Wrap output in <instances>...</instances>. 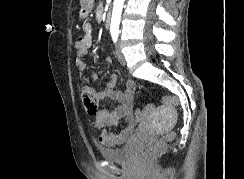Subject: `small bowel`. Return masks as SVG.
<instances>
[{"instance_id": "c3829d8e", "label": "small bowel", "mask_w": 244, "mask_h": 179, "mask_svg": "<svg viewBox=\"0 0 244 179\" xmlns=\"http://www.w3.org/2000/svg\"><path fill=\"white\" fill-rule=\"evenodd\" d=\"M92 42V25L86 23L83 32L75 42V48L77 50L75 55L76 65L81 71L85 69V63L82 61V58L87 55L92 46ZM107 61L109 62L110 59L107 58ZM101 75V72L93 71L90 75H83V80L87 83H94L101 77ZM135 91L136 85L133 82H127L124 91L117 90L116 75L112 74L104 88L97 92L98 100L110 98L117 101L119 105L113 110L100 109L96 115V126L98 128L117 126L121 120H124L126 123V126L121 130L102 131L99 137L101 144L109 147L118 146L133 132L137 124L135 116L133 115V97Z\"/></svg>"}]
</instances>
